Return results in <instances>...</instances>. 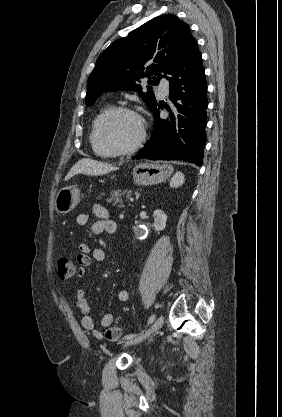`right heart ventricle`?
Returning a JSON list of instances; mask_svg holds the SVG:
<instances>
[{
	"instance_id": "right-heart-ventricle-1",
	"label": "right heart ventricle",
	"mask_w": 282,
	"mask_h": 417,
	"mask_svg": "<svg viewBox=\"0 0 282 417\" xmlns=\"http://www.w3.org/2000/svg\"><path fill=\"white\" fill-rule=\"evenodd\" d=\"M112 110L110 106L105 107L102 109V111L99 113V115L95 118L93 122L92 132H91V142L93 145L94 150L96 153H98L101 156H109L111 155L110 152H108L105 147L102 145L101 142V136H100V126L105 118V116Z\"/></svg>"
}]
</instances>
